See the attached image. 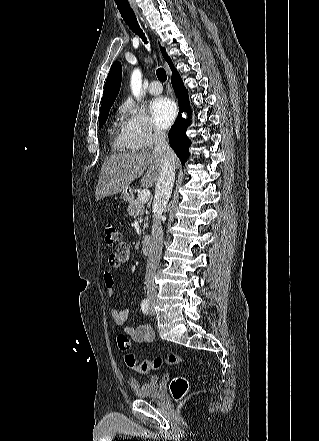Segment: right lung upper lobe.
Segmentation results:
<instances>
[{
	"mask_svg": "<svg viewBox=\"0 0 319 441\" xmlns=\"http://www.w3.org/2000/svg\"><path fill=\"white\" fill-rule=\"evenodd\" d=\"M160 49L165 60L169 64L171 70H174L175 68L173 66V63L166 54L165 49L163 47H160ZM121 78H122V66L121 63L117 61L112 64L110 72L108 74L102 97L101 109L106 107H111L112 104L114 103L116 96L118 95V92L120 90Z\"/></svg>",
	"mask_w": 319,
	"mask_h": 441,
	"instance_id": "1",
	"label": "right lung upper lobe"
}]
</instances>
